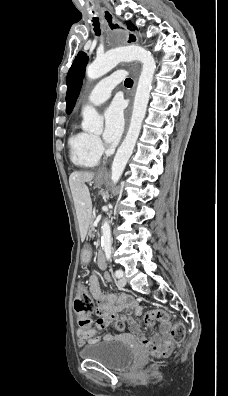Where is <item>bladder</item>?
I'll return each mask as SVG.
<instances>
[{"mask_svg":"<svg viewBox=\"0 0 228 396\" xmlns=\"http://www.w3.org/2000/svg\"><path fill=\"white\" fill-rule=\"evenodd\" d=\"M79 355L82 359L93 360L107 368L122 370L134 360L132 348L121 340H103L83 346Z\"/></svg>","mask_w":228,"mask_h":396,"instance_id":"obj_1","label":"bladder"}]
</instances>
